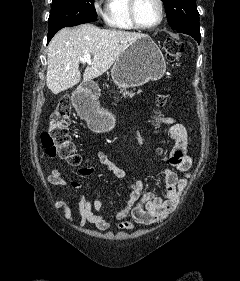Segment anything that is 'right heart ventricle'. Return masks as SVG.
Instances as JSON below:
<instances>
[{
    "label": "right heart ventricle",
    "instance_id": "e07e8e85",
    "mask_svg": "<svg viewBox=\"0 0 240 281\" xmlns=\"http://www.w3.org/2000/svg\"><path fill=\"white\" fill-rule=\"evenodd\" d=\"M128 0H107L105 21L106 24L117 30H134L128 12Z\"/></svg>",
    "mask_w": 240,
    "mask_h": 281
}]
</instances>
